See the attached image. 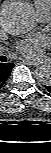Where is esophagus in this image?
Here are the masks:
<instances>
[{"instance_id": "obj_1", "label": "esophagus", "mask_w": 51, "mask_h": 153, "mask_svg": "<svg viewBox=\"0 0 51 153\" xmlns=\"http://www.w3.org/2000/svg\"><path fill=\"white\" fill-rule=\"evenodd\" d=\"M24 62L28 65H38V62L33 61V60H24Z\"/></svg>"}]
</instances>
